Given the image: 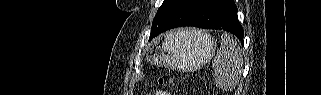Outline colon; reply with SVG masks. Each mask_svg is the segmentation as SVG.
Returning <instances> with one entry per match:
<instances>
[{
    "instance_id": "5ec220e1",
    "label": "colon",
    "mask_w": 321,
    "mask_h": 95,
    "mask_svg": "<svg viewBox=\"0 0 321 95\" xmlns=\"http://www.w3.org/2000/svg\"><path fill=\"white\" fill-rule=\"evenodd\" d=\"M174 81V79L173 78H170V79H165V78H163V77H160L159 79H158V82H159V84H164V83H166V82H173Z\"/></svg>"
}]
</instances>
